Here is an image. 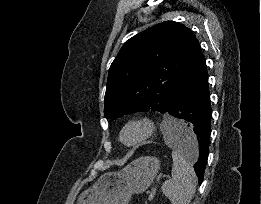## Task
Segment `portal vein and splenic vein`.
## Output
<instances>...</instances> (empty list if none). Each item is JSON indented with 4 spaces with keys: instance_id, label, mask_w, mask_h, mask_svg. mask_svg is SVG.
I'll list each match as a JSON object with an SVG mask.
<instances>
[{
    "instance_id": "1",
    "label": "portal vein and splenic vein",
    "mask_w": 261,
    "mask_h": 204,
    "mask_svg": "<svg viewBox=\"0 0 261 204\" xmlns=\"http://www.w3.org/2000/svg\"><path fill=\"white\" fill-rule=\"evenodd\" d=\"M155 194H156V186H154V187L151 188V191H150L148 200H149V201L153 200Z\"/></svg>"
}]
</instances>
